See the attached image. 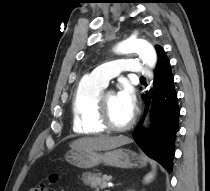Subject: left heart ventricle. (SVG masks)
Wrapping results in <instances>:
<instances>
[{
    "mask_svg": "<svg viewBox=\"0 0 210 191\" xmlns=\"http://www.w3.org/2000/svg\"><path fill=\"white\" fill-rule=\"evenodd\" d=\"M108 113L111 122L116 126H123L129 122L132 114L129 113L117 100L114 93H109L105 97Z\"/></svg>",
    "mask_w": 210,
    "mask_h": 191,
    "instance_id": "obj_1",
    "label": "left heart ventricle"
}]
</instances>
